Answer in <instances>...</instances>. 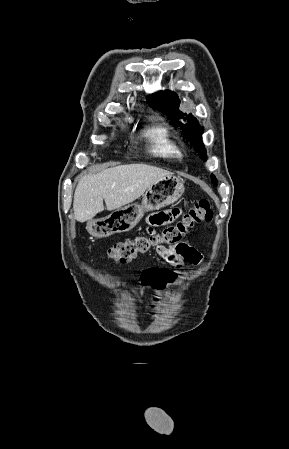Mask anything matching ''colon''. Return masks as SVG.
Segmentation results:
<instances>
[{"label": "colon", "mask_w": 289, "mask_h": 449, "mask_svg": "<svg viewBox=\"0 0 289 449\" xmlns=\"http://www.w3.org/2000/svg\"><path fill=\"white\" fill-rule=\"evenodd\" d=\"M213 211L206 199L193 202L174 224L165 227L160 233L138 236L131 240L118 242L107 250V255L117 263H128L137 256L146 254L159 246L180 244L185 236L196 226L212 220ZM179 278L173 268H145L140 273L139 290L148 286L150 291L167 289Z\"/></svg>", "instance_id": "obj_1"}]
</instances>
